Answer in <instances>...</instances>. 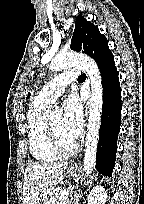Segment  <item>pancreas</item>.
<instances>
[{
  "label": "pancreas",
  "mask_w": 144,
  "mask_h": 204,
  "mask_svg": "<svg viewBox=\"0 0 144 204\" xmlns=\"http://www.w3.org/2000/svg\"><path fill=\"white\" fill-rule=\"evenodd\" d=\"M42 204H68V197L59 198L58 190H49L43 194Z\"/></svg>",
  "instance_id": "pancreas-1"
}]
</instances>
